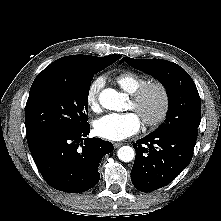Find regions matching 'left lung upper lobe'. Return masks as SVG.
<instances>
[{"mask_svg": "<svg viewBox=\"0 0 221 221\" xmlns=\"http://www.w3.org/2000/svg\"><path fill=\"white\" fill-rule=\"evenodd\" d=\"M155 76L166 88L169 109L165 122L153 133H182L197 137L201 99L190 75L179 65L163 59H133L121 62Z\"/></svg>", "mask_w": 221, "mask_h": 221, "instance_id": "5c2ea615", "label": "left lung upper lobe"}]
</instances>
